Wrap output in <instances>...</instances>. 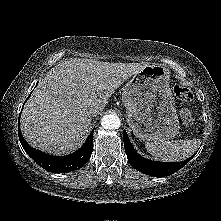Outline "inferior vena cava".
<instances>
[{
	"label": "inferior vena cava",
	"mask_w": 221,
	"mask_h": 221,
	"mask_svg": "<svg viewBox=\"0 0 221 221\" xmlns=\"http://www.w3.org/2000/svg\"><path fill=\"white\" fill-rule=\"evenodd\" d=\"M99 113V109H97V108H94V109H92L91 111H90V114L92 115V116H95V115H97Z\"/></svg>",
	"instance_id": "inferior-vena-cava-1"
}]
</instances>
